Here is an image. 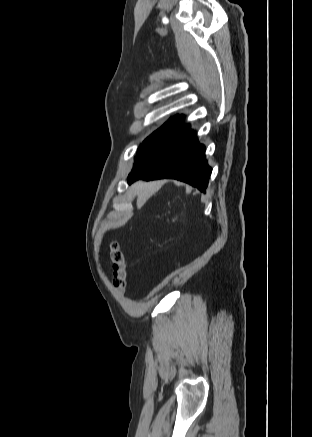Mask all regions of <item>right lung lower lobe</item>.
Wrapping results in <instances>:
<instances>
[{
	"label": "right lung lower lobe",
	"instance_id": "right-lung-lower-lobe-1",
	"mask_svg": "<svg viewBox=\"0 0 312 437\" xmlns=\"http://www.w3.org/2000/svg\"><path fill=\"white\" fill-rule=\"evenodd\" d=\"M210 175L211 168L205 159V147L199 144L194 132L188 130L161 148L139 153L128 182L174 178L203 192L208 186Z\"/></svg>",
	"mask_w": 312,
	"mask_h": 437
}]
</instances>
